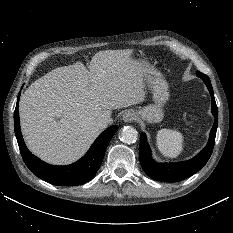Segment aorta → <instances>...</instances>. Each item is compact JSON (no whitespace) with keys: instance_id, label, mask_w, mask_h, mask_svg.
Returning a JSON list of instances; mask_svg holds the SVG:
<instances>
[{"instance_id":"1","label":"aorta","mask_w":233,"mask_h":233,"mask_svg":"<svg viewBox=\"0 0 233 233\" xmlns=\"http://www.w3.org/2000/svg\"><path fill=\"white\" fill-rule=\"evenodd\" d=\"M138 132L131 126H125L120 133V140L126 144H132L137 141Z\"/></svg>"}]
</instances>
